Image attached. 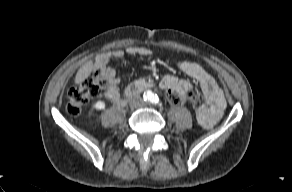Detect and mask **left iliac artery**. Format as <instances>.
Here are the masks:
<instances>
[{"label": "left iliac artery", "instance_id": "1", "mask_svg": "<svg viewBox=\"0 0 292 192\" xmlns=\"http://www.w3.org/2000/svg\"><path fill=\"white\" fill-rule=\"evenodd\" d=\"M153 103L159 104V99L158 98H155V100L153 101Z\"/></svg>", "mask_w": 292, "mask_h": 192}]
</instances>
